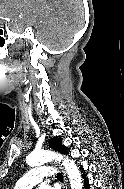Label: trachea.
Returning a JSON list of instances; mask_svg holds the SVG:
<instances>
[{
    "mask_svg": "<svg viewBox=\"0 0 124 189\" xmlns=\"http://www.w3.org/2000/svg\"><path fill=\"white\" fill-rule=\"evenodd\" d=\"M57 179L60 180V181H63V176L61 173H58L57 174Z\"/></svg>",
    "mask_w": 124,
    "mask_h": 189,
    "instance_id": "trachea-1",
    "label": "trachea"
}]
</instances>
